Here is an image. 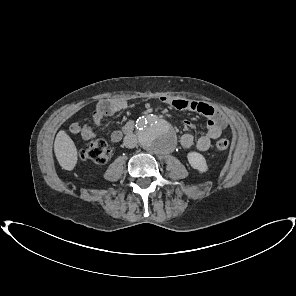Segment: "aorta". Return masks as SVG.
Returning <instances> with one entry per match:
<instances>
[{
  "label": "aorta",
  "instance_id": "obj_1",
  "mask_svg": "<svg viewBox=\"0 0 296 296\" xmlns=\"http://www.w3.org/2000/svg\"><path fill=\"white\" fill-rule=\"evenodd\" d=\"M140 145L154 154H166L175 148L176 138L172 126L155 115L141 117L137 122Z\"/></svg>",
  "mask_w": 296,
  "mask_h": 296
}]
</instances>
